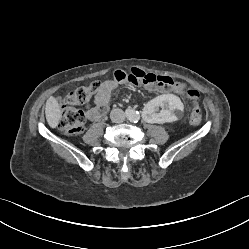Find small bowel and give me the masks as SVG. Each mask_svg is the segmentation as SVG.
<instances>
[{
    "mask_svg": "<svg viewBox=\"0 0 249 249\" xmlns=\"http://www.w3.org/2000/svg\"><path fill=\"white\" fill-rule=\"evenodd\" d=\"M144 72L141 68L136 67L132 70L130 74L122 70H117L114 72V78L112 80H106L102 83L101 89L95 94L92 100L86 105V117L89 120L96 121L103 119L108 113V104L110 101L111 94L114 90L118 88L119 85L129 84L132 87L137 86L142 83ZM165 83L159 86V93L164 95L167 93V88L171 89L174 94L179 98V95L182 93V87L175 83L173 80L167 82L168 77H161ZM166 95V96H168ZM165 96V97H166ZM164 97V98H165ZM182 104V111L184 110V103L179 98Z\"/></svg>",
    "mask_w": 249,
    "mask_h": 249,
    "instance_id": "1",
    "label": "small bowel"
}]
</instances>
